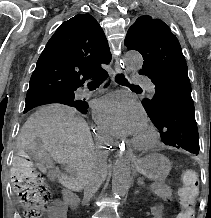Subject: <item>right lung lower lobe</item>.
Here are the masks:
<instances>
[{
    "label": "right lung lower lobe",
    "mask_w": 211,
    "mask_h": 218,
    "mask_svg": "<svg viewBox=\"0 0 211 218\" xmlns=\"http://www.w3.org/2000/svg\"><path fill=\"white\" fill-rule=\"evenodd\" d=\"M97 78H103V79H106L107 78V72L105 70H103L98 76H96ZM83 84L77 86L74 88V91L79 88L80 86H82Z\"/></svg>",
    "instance_id": "98d812e1"
}]
</instances>
